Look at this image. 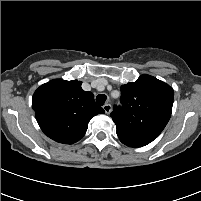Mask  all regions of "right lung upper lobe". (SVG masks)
Here are the masks:
<instances>
[{"mask_svg":"<svg viewBox=\"0 0 201 201\" xmlns=\"http://www.w3.org/2000/svg\"><path fill=\"white\" fill-rule=\"evenodd\" d=\"M81 81L54 79L34 93L32 107L42 131L56 142L73 144L86 133L90 119L103 108L96 105Z\"/></svg>","mask_w":201,"mask_h":201,"instance_id":"cb5924a9","label":"right lung upper lobe"}]
</instances>
